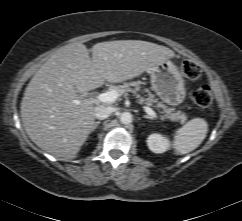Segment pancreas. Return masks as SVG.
<instances>
[{
	"label": "pancreas",
	"mask_w": 242,
	"mask_h": 221,
	"mask_svg": "<svg viewBox=\"0 0 242 221\" xmlns=\"http://www.w3.org/2000/svg\"><path fill=\"white\" fill-rule=\"evenodd\" d=\"M144 84L142 81H132V82H125L122 85L118 86H110L111 90H116L119 95H128L129 92L133 93L134 96L138 98L140 103H144L148 107H153L160 112L165 113L164 118L169 119L174 122H181L183 123L186 120V115L181 111H175V108H168L162 102L158 101L155 96L146 88L142 89L141 85ZM139 92L146 93L143 96L139 95Z\"/></svg>",
	"instance_id": "obj_1"
}]
</instances>
